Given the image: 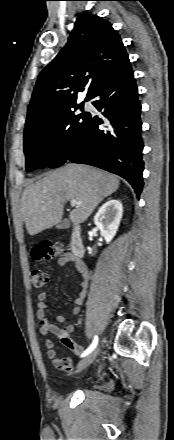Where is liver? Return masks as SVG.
I'll list each match as a JSON object with an SVG mask.
<instances>
[{
	"label": "liver",
	"instance_id": "liver-1",
	"mask_svg": "<svg viewBox=\"0 0 174 440\" xmlns=\"http://www.w3.org/2000/svg\"><path fill=\"white\" fill-rule=\"evenodd\" d=\"M119 188L115 175L86 165L68 164L28 185L21 199V215L29 235L60 222L67 201L76 200L70 212L74 224L83 223L97 205Z\"/></svg>",
	"mask_w": 174,
	"mask_h": 440
}]
</instances>
